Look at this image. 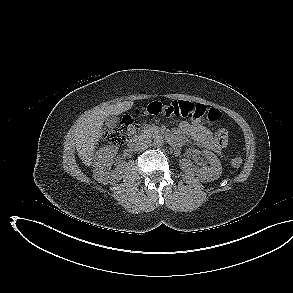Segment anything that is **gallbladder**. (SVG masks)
<instances>
[{"label": "gallbladder", "instance_id": "gallbladder-1", "mask_svg": "<svg viewBox=\"0 0 293 293\" xmlns=\"http://www.w3.org/2000/svg\"><path fill=\"white\" fill-rule=\"evenodd\" d=\"M118 121V117L117 116H114V115H110L106 118L105 120V124L109 127H113L116 125Z\"/></svg>", "mask_w": 293, "mask_h": 293}]
</instances>
